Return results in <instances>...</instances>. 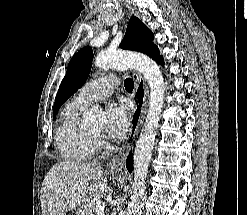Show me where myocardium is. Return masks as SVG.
<instances>
[{
  "instance_id": "obj_1",
  "label": "myocardium",
  "mask_w": 247,
  "mask_h": 215,
  "mask_svg": "<svg viewBox=\"0 0 247 215\" xmlns=\"http://www.w3.org/2000/svg\"><path fill=\"white\" fill-rule=\"evenodd\" d=\"M90 135L95 139V140H98L100 138V134H96V133H91L90 132Z\"/></svg>"
}]
</instances>
